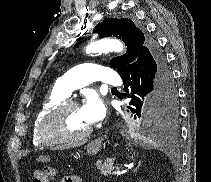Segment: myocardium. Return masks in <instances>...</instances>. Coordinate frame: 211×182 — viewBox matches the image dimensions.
Segmentation results:
<instances>
[{"label":"myocardium","mask_w":211,"mask_h":182,"mask_svg":"<svg viewBox=\"0 0 211 182\" xmlns=\"http://www.w3.org/2000/svg\"><path fill=\"white\" fill-rule=\"evenodd\" d=\"M69 107H79L73 101L65 99L54 106L42 119L38 128V135L41 142L45 145H58V144H75L86 141L92 134V127L90 126L83 134L75 137L61 136L54 130L56 120L63 114Z\"/></svg>","instance_id":"f54148a6"}]
</instances>
